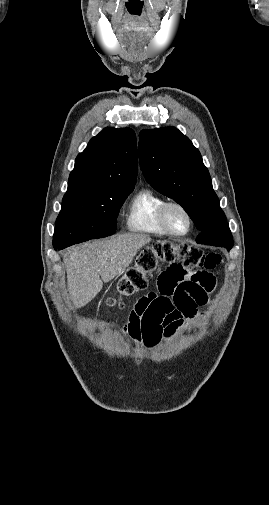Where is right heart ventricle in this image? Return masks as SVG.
<instances>
[{"label": "right heart ventricle", "instance_id": "obj_1", "mask_svg": "<svg viewBox=\"0 0 269 505\" xmlns=\"http://www.w3.org/2000/svg\"><path fill=\"white\" fill-rule=\"evenodd\" d=\"M165 200L149 188H142L130 200L126 213V227L131 232L152 236H166L158 220V209Z\"/></svg>", "mask_w": 269, "mask_h": 505}]
</instances>
